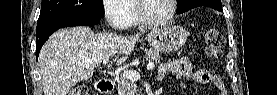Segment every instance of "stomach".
<instances>
[{
  "mask_svg": "<svg viewBox=\"0 0 277 95\" xmlns=\"http://www.w3.org/2000/svg\"><path fill=\"white\" fill-rule=\"evenodd\" d=\"M187 36V31L181 26H167L149 32L147 41L157 51L175 52L185 44Z\"/></svg>",
  "mask_w": 277,
  "mask_h": 95,
  "instance_id": "0dacf381",
  "label": "stomach"
}]
</instances>
